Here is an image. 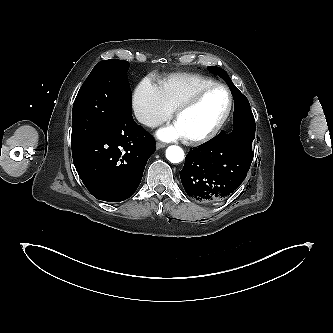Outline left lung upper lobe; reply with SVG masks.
I'll return each instance as SVG.
<instances>
[{"label": "left lung upper lobe", "mask_w": 333, "mask_h": 333, "mask_svg": "<svg viewBox=\"0 0 333 333\" xmlns=\"http://www.w3.org/2000/svg\"><path fill=\"white\" fill-rule=\"evenodd\" d=\"M208 70L211 73L219 75L221 78H223L226 81V83L231 88L234 98L238 96L239 98L245 99V101L248 103V100L246 99V97L235 87V85L233 84V82L230 79V77L228 76V74L222 68L215 67V66H209Z\"/></svg>", "instance_id": "5c2ea615"}]
</instances>
